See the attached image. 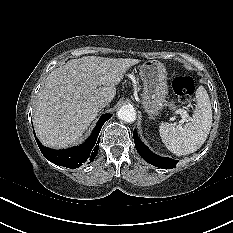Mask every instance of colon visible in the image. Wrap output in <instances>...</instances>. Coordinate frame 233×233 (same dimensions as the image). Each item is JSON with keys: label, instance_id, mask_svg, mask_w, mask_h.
<instances>
[{"label": "colon", "instance_id": "5ec220e1", "mask_svg": "<svg viewBox=\"0 0 233 233\" xmlns=\"http://www.w3.org/2000/svg\"><path fill=\"white\" fill-rule=\"evenodd\" d=\"M173 89L181 102H188L195 90L194 80L192 77L178 72L173 80Z\"/></svg>", "mask_w": 233, "mask_h": 233}]
</instances>
